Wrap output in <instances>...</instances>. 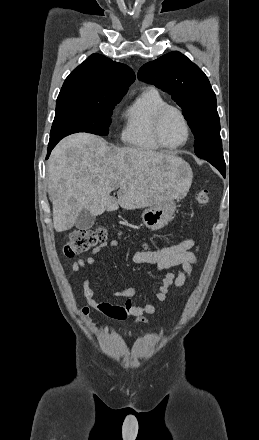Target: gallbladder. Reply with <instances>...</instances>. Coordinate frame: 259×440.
Instances as JSON below:
<instances>
[{"instance_id":"gallbladder-1","label":"gallbladder","mask_w":259,"mask_h":440,"mask_svg":"<svg viewBox=\"0 0 259 440\" xmlns=\"http://www.w3.org/2000/svg\"><path fill=\"white\" fill-rule=\"evenodd\" d=\"M96 217L87 209H82L76 219L75 227L80 230H88L95 223Z\"/></svg>"}]
</instances>
